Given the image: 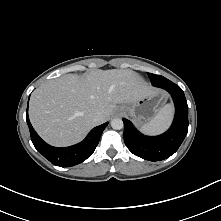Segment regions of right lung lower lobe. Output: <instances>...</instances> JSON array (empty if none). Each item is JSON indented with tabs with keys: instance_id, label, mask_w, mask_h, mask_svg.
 Masks as SVG:
<instances>
[{
	"instance_id": "98d812e1",
	"label": "right lung lower lobe",
	"mask_w": 221,
	"mask_h": 221,
	"mask_svg": "<svg viewBox=\"0 0 221 221\" xmlns=\"http://www.w3.org/2000/svg\"><path fill=\"white\" fill-rule=\"evenodd\" d=\"M26 120L34 147L53 165L61 167L74 166L89 158L98 145L100 136L108 124L104 123L95 127L82 142L76 145L65 148H57L45 143L34 131L28 118V110L26 112Z\"/></svg>"
}]
</instances>
